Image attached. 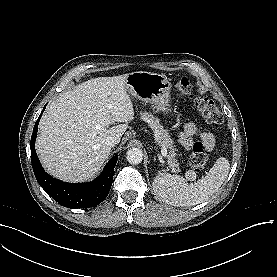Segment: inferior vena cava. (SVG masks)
Returning <instances> with one entry per match:
<instances>
[{"label":"inferior vena cava","mask_w":277,"mask_h":277,"mask_svg":"<svg viewBox=\"0 0 277 277\" xmlns=\"http://www.w3.org/2000/svg\"><path fill=\"white\" fill-rule=\"evenodd\" d=\"M118 143H119V139L115 136H108L105 141V145L110 148L114 147Z\"/></svg>","instance_id":"obj_1"}]
</instances>
